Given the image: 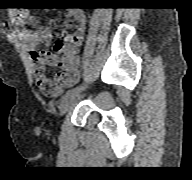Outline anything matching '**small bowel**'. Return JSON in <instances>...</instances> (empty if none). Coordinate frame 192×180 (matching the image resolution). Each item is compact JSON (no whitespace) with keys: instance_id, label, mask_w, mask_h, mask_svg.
I'll use <instances>...</instances> for the list:
<instances>
[{"instance_id":"1","label":"small bowel","mask_w":192,"mask_h":180,"mask_svg":"<svg viewBox=\"0 0 192 180\" xmlns=\"http://www.w3.org/2000/svg\"><path fill=\"white\" fill-rule=\"evenodd\" d=\"M20 24L18 35L27 45L34 60V74L41 91L50 97L60 96L67 88L75 85L80 78L81 59L77 49L81 45L87 24V17L81 9H69L67 16L74 20V31L65 32L54 45L53 52L40 51V45L50 46L53 34L49 28L31 31L24 25H36L35 15L28 9L17 11ZM58 66L61 71L52 78L47 73V67Z\"/></svg>"}]
</instances>
